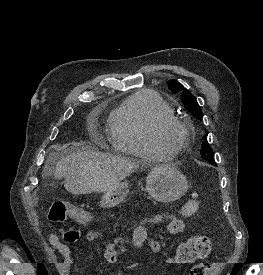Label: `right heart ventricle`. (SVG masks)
<instances>
[{
	"label": "right heart ventricle",
	"mask_w": 263,
	"mask_h": 275,
	"mask_svg": "<svg viewBox=\"0 0 263 275\" xmlns=\"http://www.w3.org/2000/svg\"><path fill=\"white\" fill-rule=\"evenodd\" d=\"M166 115L175 116L172 107L158 93L140 91L132 94L110 115L108 136L111 145L115 150L135 157H169L150 141L153 124Z\"/></svg>",
	"instance_id": "1"
}]
</instances>
